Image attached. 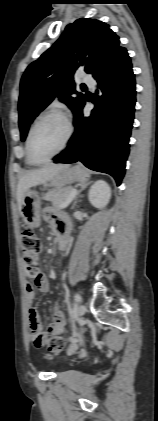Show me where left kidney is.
Instances as JSON below:
<instances>
[{
    "mask_svg": "<svg viewBox=\"0 0 158 421\" xmlns=\"http://www.w3.org/2000/svg\"><path fill=\"white\" fill-rule=\"evenodd\" d=\"M90 203L96 208L105 207L111 198V188L103 180L96 181L88 193Z\"/></svg>",
    "mask_w": 158,
    "mask_h": 421,
    "instance_id": "obj_1",
    "label": "left kidney"
}]
</instances>
